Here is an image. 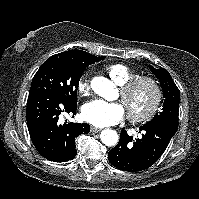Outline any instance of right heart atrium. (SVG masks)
I'll use <instances>...</instances> for the list:
<instances>
[{"label": "right heart atrium", "instance_id": "obj_1", "mask_svg": "<svg viewBox=\"0 0 199 199\" xmlns=\"http://www.w3.org/2000/svg\"><path fill=\"white\" fill-rule=\"evenodd\" d=\"M77 91L80 96H86L90 91V82L88 78L83 77L77 83Z\"/></svg>", "mask_w": 199, "mask_h": 199}]
</instances>
